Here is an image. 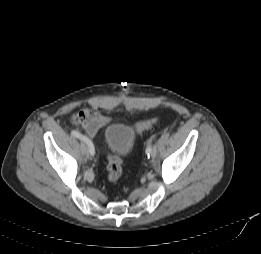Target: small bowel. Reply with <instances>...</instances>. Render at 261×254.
Returning a JSON list of instances; mask_svg holds the SVG:
<instances>
[{
  "mask_svg": "<svg viewBox=\"0 0 261 254\" xmlns=\"http://www.w3.org/2000/svg\"><path fill=\"white\" fill-rule=\"evenodd\" d=\"M109 121V117L91 108L83 109L71 116V122L81 126L90 137H94L98 130L107 125Z\"/></svg>",
  "mask_w": 261,
  "mask_h": 254,
  "instance_id": "1",
  "label": "small bowel"
}]
</instances>
